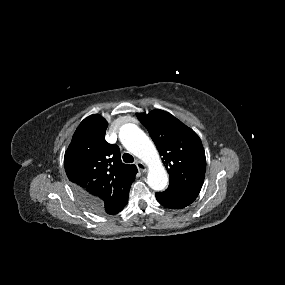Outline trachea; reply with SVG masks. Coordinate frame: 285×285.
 Instances as JSON below:
<instances>
[{
    "label": "trachea",
    "instance_id": "3493384b",
    "mask_svg": "<svg viewBox=\"0 0 285 285\" xmlns=\"http://www.w3.org/2000/svg\"><path fill=\"white\" fill-rule=\"evenodd\" d=\"M122 159L125 163H132L134 161L133 156L130 155L129 153H124Z\"/></svg>",
    "mask_w": 285,
    "mask_h": 285
}]
</instances>
